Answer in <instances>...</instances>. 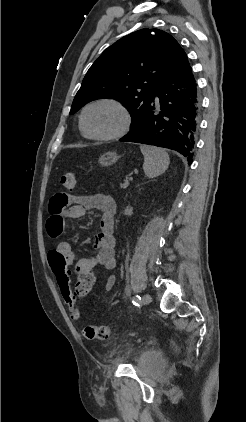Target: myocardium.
<instances>
[{
  "mask_svg": "<svg viewBox=\"0 0 246 422\" xmlns=\"http://www.w3.org/2000/svg\"><path fill=\"white\" fill-rule=\"evenodd\" d=\"M100 104H109V105L114 106L120 112L122 116V122H121L120 127L113 133L106 134V135H95V134H91L85 127L84 119H85L86 112L91 107L100 105ZM131 122H132V119H131L130 112L128 108L122 102L114 98H99V99L91 101L90 103L85 105V107L82 109L80 113V117H79V128L82 134L91 140L111 141L125 135L131 126Z\"/></svg>",
  "mask_w": 246,
  "mask_h": 422,
  "instance_id": "f54148a6",
  "label": "myocardium"
}]
</instances>
